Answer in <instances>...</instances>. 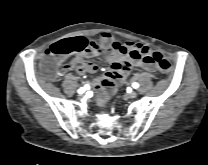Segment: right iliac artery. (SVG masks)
Segmentation results:
<instances>
[{
	"instance_id": "right-iliac-artery-1",
	"label": "right iliac artery",
	"mask_w": 208,
	"mask_h": 165,
	"mask_svg": "<svg viewBox=\"0 0 208 165\" xmlns=\"http://www.w3.org/2000/svg\"><path fill=\"white\" fill-rule=\"evenodd\" d=\"M84 91H85V88L82 87V88H80V89L78 90V93L81 94V93H84Z\"/></svg>"
}]
</instances>
